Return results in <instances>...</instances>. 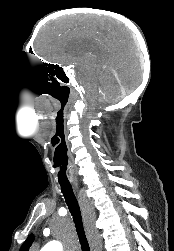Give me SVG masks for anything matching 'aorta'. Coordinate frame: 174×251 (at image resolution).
Masks as SVG:
<instances>
[{
	"label": "aorta",
	"instance_id": "aorta-1",
	"mask_svg": "<svg viewBox=\"0 0 174 251\" xmlns=\"http://www.w3.org/2000/svg\"><path fill=\"white\" fill-rule=\"evenodd\" d=\"M41 251H62V246L60 243L52 241L47 243Z\"/></svg>",
	"mask_w": 174,
	"mask_h": 251
}]
</instances>
